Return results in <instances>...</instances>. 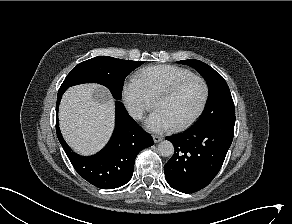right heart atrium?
<instances>
[{"mask_svg":"<svg viewBox=\"0 0 292 224\" xmlns=\"http://www.w3.org/2000/svg\"><path fill=\"white\" fill-rule=\"evenodd\" d=\"M122 98L130 115L138 120L154 106V100L136 79L124 84Z\"/></svg>","mask_w":292,"mask_h":224,"instance_id":"obj_1","label":"right heart atrium"}]
</instances>
